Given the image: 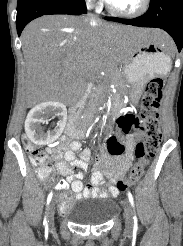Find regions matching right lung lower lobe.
I'll return each instance as SVG.
<instances>
[{"label": "right lung lower lobe", "mask_w": 183, "mask_h": 246, "mask_svg": "<svg viewBox=\"0 0 183 246\" xmlns=\"http://www.w3.org/2000/svg\"><path fill=\"white\" fill-rule=\"evenodd\" d=\"M86 13L84 0H18L16 27L20 36L24 27L33 19L43 15Z\"/></svg>", "instance_id": "1"}]
</instances>
